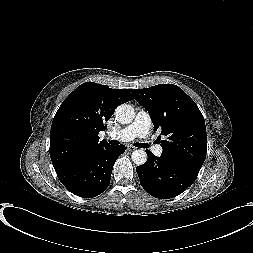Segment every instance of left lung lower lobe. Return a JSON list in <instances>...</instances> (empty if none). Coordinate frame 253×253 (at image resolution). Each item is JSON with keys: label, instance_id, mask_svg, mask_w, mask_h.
Here are the masks:
<instances>
[{"label": "left lung lower lobe", "instance_id": "0a47b994", "mask_svg": "<svg viewBox=\"0 0 253 253\" xmlns=\"http://www.w3.org/2000/svg\"><path fill=\"white\" fill-rule=\"evenodd\" d=\"M148 159L136 172L141 186L159 199L173 198L184 192L197 178L199 170L146 150Z\"/></svg>", "mask_w": 253, "mask_h": 253}]
</instances>
